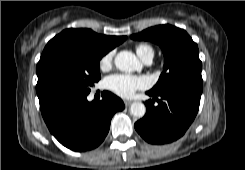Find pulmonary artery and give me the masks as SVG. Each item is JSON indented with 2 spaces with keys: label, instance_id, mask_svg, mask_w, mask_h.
<instances>
[{
  "label": "pulmonary artery",
  "instance_id": "1",
  "mask_svg": "<svg viewBox=\"0 0 245 170\" xmlns=\"http://www.w3.org/2000/svg\"><path fill=\"white\" fill-rule=\"evenodd\" d=\"M151 61H152V58H148V59H145V60H144L145 64H150Z\"/></svg>",
  "mask_w": 245,
  "mask_h": 170
}]
</instances>
